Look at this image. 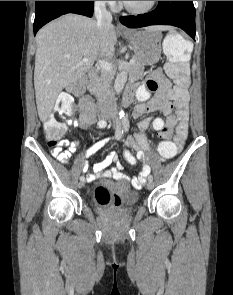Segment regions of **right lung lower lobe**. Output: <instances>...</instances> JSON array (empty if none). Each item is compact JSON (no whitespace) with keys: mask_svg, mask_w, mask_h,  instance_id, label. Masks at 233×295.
<instances>
[{"mask_svg":"<svg viewBox=\"0 0 233 295\" xmlns=\"http://www.w3.org/2000/svg\"><path fill=\"white\" fill-rule=\"evenodd\" d=\"M94 1H36L34 35L49 21L66 13L91 17Z\"/></svg>","mask_w":233,"mask_h":295,"instance_id":"98d812e1","label":"right lung lower lobe"}]
</instances>
